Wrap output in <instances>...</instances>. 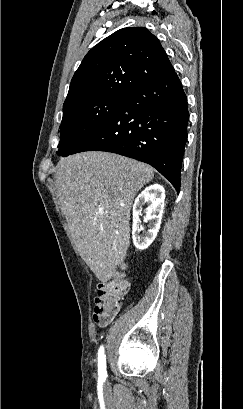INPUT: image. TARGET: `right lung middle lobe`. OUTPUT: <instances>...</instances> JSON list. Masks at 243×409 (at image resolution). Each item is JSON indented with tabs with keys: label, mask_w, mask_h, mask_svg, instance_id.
<instances>
[{
	"label": "right lung middle lobe",
	"mask_w": 243,
	"mask_h": 409,
	"mask_svg": "<svg viewBox=\"0 0 243 409\" xmlns=\"http://www.w3.org/2000/svg\"><path fill=\"white\" fill-rule=\"evenodd\" d=\"M125 99L98 98L63 108L57 154L68 156L81 143L99 132L118 112Z\"/></svg>",
	"instance_id": "dd1d6c3e"
}]
</instances>
